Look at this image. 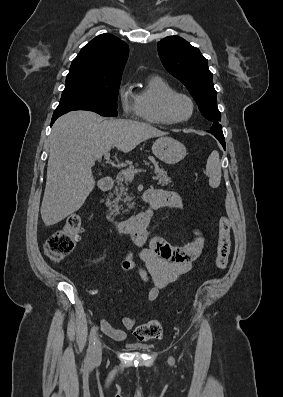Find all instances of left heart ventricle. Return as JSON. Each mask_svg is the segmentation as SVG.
Listing matches in <instances>:
<instances>
[{"label":"left heart ventricle","instance_id":"1","mask_svg":"<svg viewBox=\"0 0 283 397\" xmlns=\"http://www.w3.org/2000/svg\"><path fill=\"white\" fill-rule=\"evenodd\" d=\"M190 112L189 103L182 98H176L171 104V113L175 118H183Z\"/></svg>","mask_w":283,"mask_h":397}]
</instances>
